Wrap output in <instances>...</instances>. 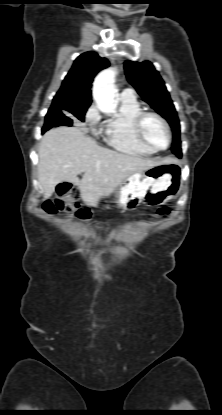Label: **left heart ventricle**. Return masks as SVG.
Wrapping results in <instances>:
<instances>
[{"label": "left heart ventricle", "instance_id": "left-heart-ventricle-1", "mask_svg": "<svg viewBox=\"0 0 222 415\" xmlns=\"http://www.w3.org/2000/svg\"><path fill=\"white\" fill-rule=\"evenodd\" d=\"M144 133L149 141L158 147L167 144V132L163 124L154 117H148L144 123Z\"/></svg>", "mask_w": 222, "mask_h": 415}]
</instances>
